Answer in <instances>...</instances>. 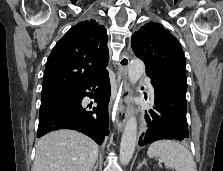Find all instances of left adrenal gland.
<instances>
[{
    "mask_svg": "<svg viewBox=\"0 0 223 171\" xmlns=\"http://www.w3.org/2000/svg\"><path fill=\"white\" fill-rule=\"evenodd\" d=\"M143 165H146V159H144L137 167V169L139 170Z\"/></svg>",
    "mask_w": 223,
    "mask_h": 171,
    "instance_id": "1",
    "label": "left adrenal gland"
}]
</instances>
